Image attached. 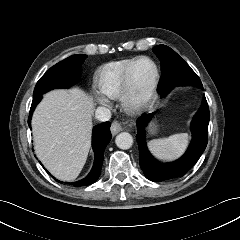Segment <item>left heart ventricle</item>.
I'll return each mask as SVG.
<instances>
[{
    "instance_id": "b2bd125f",
    "label": "left heart ventricle",
    "mask_w": 240,
    "mask_h": 240,
    "mask_svg": "<svg viewBox=\"0 0 240 240\" xmlns=\"http://www.w3.org/2000/svg\"><path fill=\"white\" fill-rule=\"evenodd\" d=\"M154 78V67L149 61H141L132 75V86L137 94L149 89Z\"/></svg>"
}]
</instances>
